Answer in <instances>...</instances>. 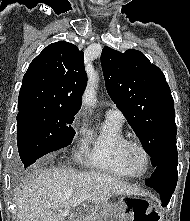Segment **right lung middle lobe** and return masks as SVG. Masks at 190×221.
Here are the masks:
<instances>
[{
	"mask_svg": "<svg viewBox=\"0 0 190 221\" xmlns=\"http://www.w3.org/2000/svg\"><path fill=\"white\" fill-rule=\"evenodd\" d=\"M77 112L35 108L17 115V145L24 167L43 155L72 143Z\"/></svg>",
	"mask_w": 190,
	"mask_h": 221,
	"instance_id": "dd1d6c3e",
	"label": "right lung middle lobe"
}]
</instances>
